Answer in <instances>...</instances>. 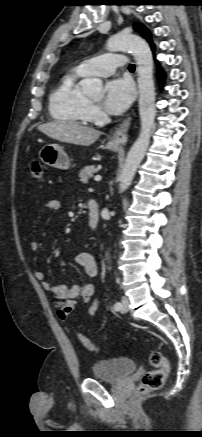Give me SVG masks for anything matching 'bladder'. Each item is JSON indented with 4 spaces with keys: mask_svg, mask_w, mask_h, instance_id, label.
Wrapping results in <instances>:
<instances>
[{
    "mask_svg": "<svg viewBox=\"0 0 202 437\" xmlns=\"http://www.w3.org/2000/svg\"><path fill=\"white\" fill-rule=\"evenodd\" d=\"M136 368L133 359L118 357L96 362L91 367V373L95 379L116 383L131 375Z\"/></svg>",
    "mask_w": 202,
    "mask_h": 437,
    "instance_id": "1",
    "label": "bladder"
}]
</instances>
